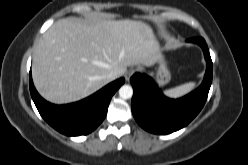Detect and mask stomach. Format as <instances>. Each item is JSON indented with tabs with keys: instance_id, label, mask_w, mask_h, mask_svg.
<instances>
[{
	"instance_id": "obj_1",
	"label": "stomach",
	"mask_w": 248,
	"mask_h": 165,
	"mask_svg": "<svg viewBox=\"0 0 248 165\" xmlns=\"http://www.w3.org/2000/svg\"><path fill=\"white\" fill-rule=\"evenodd\" d=\"M156 63L158 67L156 68V71H155V78H156L157 83L160 86H163L170 82L171 74H170V71L167 67L166 61L163 58V56H160Z\"/></svg>"
}]
</instances>
